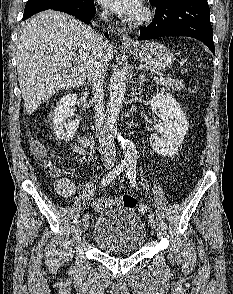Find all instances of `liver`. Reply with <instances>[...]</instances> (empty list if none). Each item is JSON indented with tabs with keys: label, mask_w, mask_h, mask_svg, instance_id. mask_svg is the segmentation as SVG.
Returning a JSON list of instances; mask_svg holds the SVG:
<instances>
[{
	"label": "liver",
	"mask_w": 233,
	"mask_h": 294,
	"mask_svg": "<svg viewBox=\"0 0 233 294\" xmlns=\"http://www.w3.org/2000/svg\"><path fill=\"white\" fill-rule=\"evenodd\" d=\"M98 34L73 17L45 11L30 18L17 46L18 81L28 114L57 91L82 85ZM114 50L104 49L107 62Z\"/></svg>",
	"instance_id": "obj_1"
}]
</instances>
